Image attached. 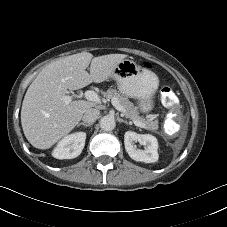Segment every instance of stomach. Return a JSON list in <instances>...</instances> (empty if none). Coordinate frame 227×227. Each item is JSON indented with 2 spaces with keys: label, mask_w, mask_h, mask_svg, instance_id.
<instances>
[{
  "label": "stomach",
  "mask_w": 227,
  "mask_h": 227,
  "mask_svg": "<svg viewBox=\"0 0 227 227\" xmlns=\"http://www.w3.org/2000/svg\"><path fill=\"white\" fill-rule=\"evenodd\" d=\"M111 78L116 81L121 93L139 101V108L143 113L153 109L154 95L159 86L155 73L133 60L124 59L115 67Z\"/></svg>",
  "instance_id": "1"
}]
</instances>
